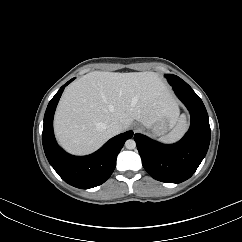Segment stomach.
Returning a JSON list of instances; mask_svg holds the SVG:
<instances>
[{
  "instance_id": "0dacf381",
  "label": "stomach",
  "mask_w": 242,
  "mask_h": 242,
  "mask_svg": "<svg viewBox=\"0 0 242 242\" xmlns=\"http://www.w3.org/2000/svg\"><path fill=\"white\" fill-rule=\"evenodd\" d=\"M177 120V119H176ZM170 117H164L161 120L155 122L151 127V131L155 136H161L165 134L176 122Z\"/></svg>"
}]
</instances>
